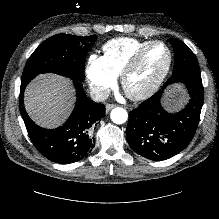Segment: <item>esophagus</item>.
Masks as SVG:
<instances>
[{
    "label": "esophagus",
    "mask_w": 219,
    "mask_h": 219,
    "mask_svg": "<svg viewBox=\"0 0 219 219\" xmlns=\"http://www.w3.org/2000/svg\"><path fill=\"white\" fill-rule=\"evenodd\" d=\"M114 107H116V105H114V104H106V113H108Z\"/></svg>",
    "instance_id": "34e87169"
}]
</instances>
